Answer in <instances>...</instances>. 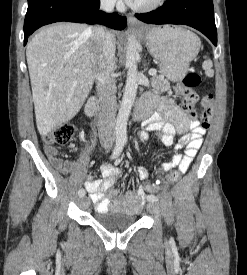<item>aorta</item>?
<instances>
[{
    "mask_svg": "<svg viewBox=\"0 0 247 275\" xmlns=\"http://www.w3.org/2000/svg\"><path fill=\"white\" fill-rule=\"evenodd\" d=\"M138 59L139 53L137 51V41L133 36H131L128 38V43L126 47V85L115 125L116 137L118 140L122 141H125L127 139V122L138 89Z\"/></svg>",
    "mask_w": 247,
    "mask_h": 275,
    "instance_id": "aorta-1",
    "label": "aorta"
}]
</instances>
